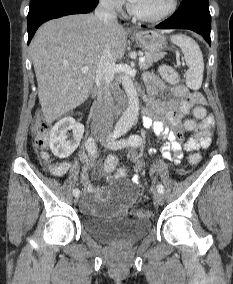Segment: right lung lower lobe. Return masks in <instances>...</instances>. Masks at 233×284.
Returning a JSON list of instances; mask_svg holds the SVG:
<instances>
[{"label": "right lung lower lobe", "instance_id": "98d812e1", "mask_svg": "<svg viewBox=\"0 0 233 284\" xmlns=\"http://www.w3.org/2000/svg\"><path fill=\"white\" fill-rule=\"evenodd\" d=\"M98 0H39L30 3L28 13V43L44 22L70 14L91 12Z\"/></svg>", "mask_w": 233, "mask_h": 284}]
</instances>
